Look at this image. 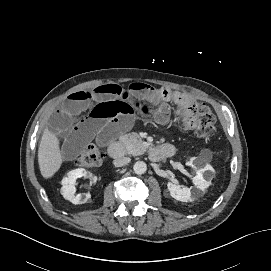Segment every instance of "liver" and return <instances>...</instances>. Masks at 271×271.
<instances>
[{"label": "liver", "instance_id": "obj_1", "mask_svg": "<svg viewBox=\"0 0 271 271\" xmlns=\"http://www.w3.org/2000/svg\"><path fill=\"white\" fill-rule=\"evenodd\" d=\"M59 144L57 136L46 127L38 149L40 172L46 179L52 177L62 165L63 159Z\"/></svg>", "mask_w": 271, "mask_h": 271}]
</instances>
